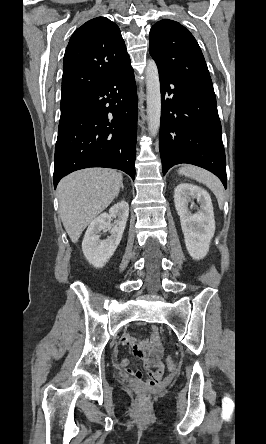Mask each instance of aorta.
Here are the masks:
<instances>
[{"mask_svg": "<svg viewBox=\"0 0 266 444\" xmlns=\"http://www.w3.org/2000/svg\"><path fill=\"white\" fill-rule=\"evenodd\" d=\"M146 90H147V119L148 132L152 137L157 135L161 117V92L158 68L154 60L147 62L146 70Z\"/></svg>", "mask_w": 266, "mask_h": 444, "instance_id": "762f6f07", "label": "aorta"}]
</instances>
